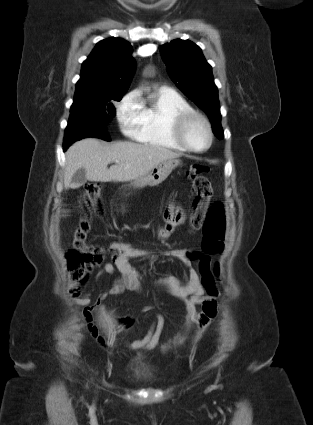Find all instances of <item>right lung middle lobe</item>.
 Returning <instances> with one entry per match:
<instances>
[{
  "mask_svg": "<svg viewBox=\"0 0 313 425\" xmlns=\"http://www.w3.org/2000/svg\"><path fill=\"white\" fill-rule=\"evenodd\" d=\"M124 94L113 93L104 96L74 99L68 125H73L79 117H90L103 124L108 123L116 115L113 102L120 101Z\"/></svg>",
  "mask_w": 313,
  "mask_h": 425,
  "instance_id": "dd1d6c3e",
  "label": "right lung middle lobe"
}]
</instances>
